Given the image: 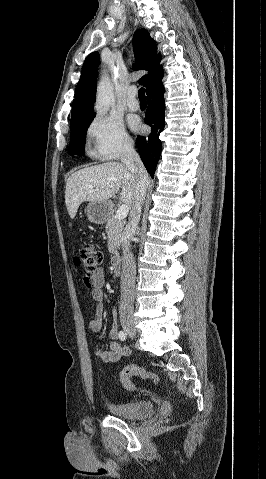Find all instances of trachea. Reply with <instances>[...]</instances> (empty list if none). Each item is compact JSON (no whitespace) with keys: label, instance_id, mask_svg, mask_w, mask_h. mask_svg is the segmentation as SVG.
<instances>
[{"label":"trachea","instance_id":"trachea-1","mask_svg":"<svg viewBox=\"0 0 266 479\" xmlns=\"http://www.w3.org/2000/svg\"><path fill=\"white\" fill-rule=\"evenodd\" d=\"M138 98L139 100L146 101L145 90L144 88H140L138 91Z\"/></svg>","mask_w":266,"mask_h":479}]
</instances>
